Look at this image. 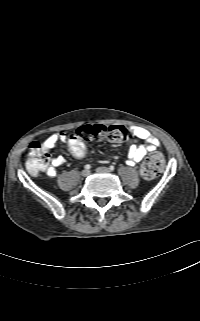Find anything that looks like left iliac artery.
Here are the masks:
<instances>
[{
	"mask_svg": "<svg viewBox=\"0 0 200 321\" xmlns=\"http://www.w3.org/2000/svg\"><path fill=\"white\" fill-rule=\"evenodd\" d=\"M111 171H113L115 168H114V166H110V168H109Z\"/></svg>",
	"mask_w": 200,
	"mask_h": 321,
	"instance_id": "1",
	"label": "left iliac artery"
}]
</instances>
